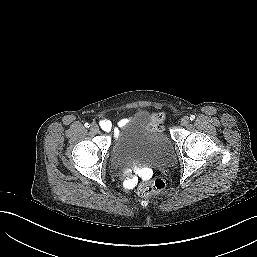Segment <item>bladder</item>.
I'll return each mask as SVG.
<instances>
[{"mask_svg":"<svg viewBox=\"0 0 257 257\" xmlns=\"http://www.w3.org/2000/svg\"><path fill=\"white\" fill-rule=\"evenodd\" d=\"M125 136L129 141L139 144L147 158L160 165L172 155V145L169 137L159 127L155 126L146 110L138 111L132 121L126 126Z\"/></svg>","mask_w":257,"mask_h":257,"instance_id":"obj_1","label":"bladder"}]
</instances>
